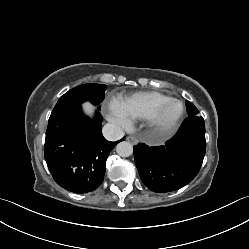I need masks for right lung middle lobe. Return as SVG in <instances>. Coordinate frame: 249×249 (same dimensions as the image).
Here are the masks:
<instances>
[{"instance_id":"1","label":"right lung middle lobe","mask_w":249,"mask_h":249,"mask_svg":"<svg viewBox=\"0 0 249 249\" xmlns=\"http://www.w3.org/2000/svg\"><path fill=\"white\" fill-rule=\"evenodd\" d=\"M106 88L107 86L103 84H83L71 89L60 97L49 119L56 117L67 109L80 107L84 101H90L94 105H98L104 99Z\"/></svg>"}]
</instances>
